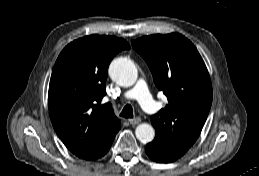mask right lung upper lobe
I'll list each match as a JSON object with an SVG mask.
<instances>
[{
  "mask_svg": "<svg viewBox=\"0 0 259 176\" xmlns=\"http://www.w3.org/2000/svg\"><path fill=\"white\" fill-rule=\"evenodd\" d=\"M129 48L124 39L90 35L68 44L56 60L49 84L50 118L65 146L79 158H92L120 130L111 104L100 101L111 60Z\"/></svg>",
  "mask_w": 259,
  "mask_h": 176,
  "instance_id": "obj_1",
  "label": "right lung upper lobe"
}]
</instances>
